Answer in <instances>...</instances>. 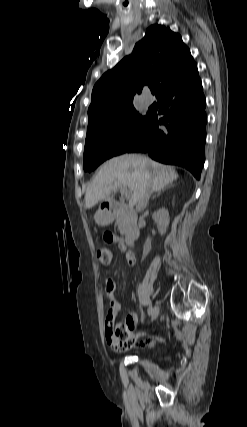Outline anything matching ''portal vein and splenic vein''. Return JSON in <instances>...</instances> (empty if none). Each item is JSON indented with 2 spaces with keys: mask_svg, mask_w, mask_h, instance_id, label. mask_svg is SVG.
<instances>
[{
  "mask_svg": "<svg viewBox=\"0 0 247 427\" xmlns=\"http://www.w3.org/2000/svg\"><path fill=\"white\" fill-rule=\"evenodd\" d=\"M121 192L125 197L130 196V191H128L126 188H121Z\"/></svg>",
  "mask_w": 247,
  "mask_h": 427,
  "instance_id": "18ae733b",
  "label": "portal vein and splenic vein"
}]
</instances>
